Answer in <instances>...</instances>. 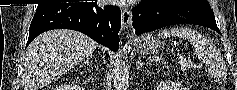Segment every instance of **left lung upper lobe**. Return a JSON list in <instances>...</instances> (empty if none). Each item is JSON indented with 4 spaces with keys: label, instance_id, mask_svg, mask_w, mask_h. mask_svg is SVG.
I'll return each instance as SVG.
<instances>
[{
    "label": "left lung upper lobe",
    "instance_id": "left-lung-upper-lobe-1",
    "mask_svg": "<svg viewBox=\"0 0 237 90\" xmlns=\"http://www.w3.org/2000/svg\"><path fill=\"white\" fill-rule=\"evenodd\" d=\"M175 1H181L186 4L196 6V7H209L210 5L206 0H175Z\"/></svg>",
    "mask_w": 237,
    "mask_h": 90
}]
</instances>
